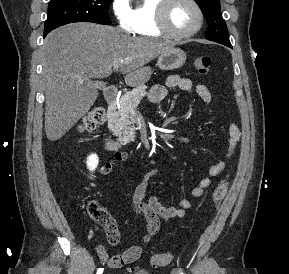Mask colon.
Returning <instances> with one entry per match:
<instances>
[{
  "label": "colon",
  "instance_id": "5ec220e1",
  "mask_svg": "<svg viewBox=\"0 0 289 274\" xmlns=\"http://www.w3.org/2000/svg\"><path fill=\"white\" fill-rule=\"evenodd\" d=\"M211 57L208 55L199 56L194 59V67L199 74H207L210 67H211ZM106 117V113L104 108L102 107H95L93 108L82 120L80 124V130L82 132H92L94 131L99 125H101ZM229 188V176L227 175L223 178L219 184L216 186L212 201L213 206L218 208L224 198L227 195ZM87 211L89 216L103 229L106 231V234L109 237H115L117 231V227L115 224L114 219L111 215L95 200H92L88 203ZM171 255L168 253L164 254H156L151 259V266H163L170 262ZM129 271L136 272V274H146L144 271L139 270L137 266L129 267Z\"/></svg>",
  "mask_w": 289,
  "mask_h": 274
}]
</instances>
